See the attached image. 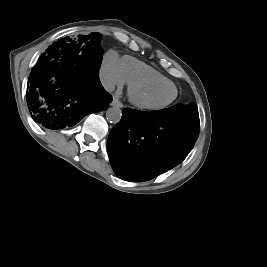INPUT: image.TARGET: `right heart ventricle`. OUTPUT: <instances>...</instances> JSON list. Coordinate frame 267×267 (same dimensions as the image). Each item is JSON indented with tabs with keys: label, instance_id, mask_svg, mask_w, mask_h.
<instances>
[{
	"label": "right heart ventricle",
	"instance_id": "1",
	"mask_svg": "<svg viewBox=\"0 0 267 267\" xmlns=\"http://www.w3.org/2000/svg\"><path fill=\"white\" fill-rule=\"evenodd\" d=\"M121 67L125 81L129 84L138 80L145 79L170 81L154 68L129 56H124L121 59Z\"/></svg>",
	"mask_w": 267,
	"mask_h": 267
}]
</instances>
